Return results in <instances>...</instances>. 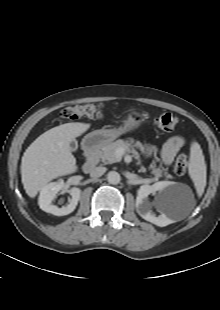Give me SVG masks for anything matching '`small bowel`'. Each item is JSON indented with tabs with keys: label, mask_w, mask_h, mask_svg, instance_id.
<instances>
[{
	"label": "small bowel",
	"mask_w": 220,
	"mask_h": 310,
	"mask_svg": "<svg viewBox=\"0 0 220 310\" xmlns=\"http://www.w3.org/2000/svg\"><path fill=\"white\" fill-rule=\"evenodd\" d=\"M186 140L182 136H173L169 138L161 149V158L165 164H171L178 152L185 146ZM147 153L152 154L156 150L152 146H146Z\"/></svg>",
	"instance_id": "small-bowel-1"
}]
</instances>
